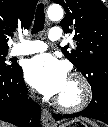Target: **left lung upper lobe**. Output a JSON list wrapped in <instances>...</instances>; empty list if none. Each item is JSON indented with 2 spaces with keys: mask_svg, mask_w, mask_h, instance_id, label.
<instances>
[{
  "mask_svg": "<svg viewBox=\"0 0 108 127\" xmlns=\"http://www.w3.org/2000/svg\"><path fill=\"white\" fill-rule=\"evenodd\" d=\"M65 17L60 25L74 33L75 49L62 52L87 78L92 90H108V9L100 0H54Z\"/></svg>",
  "mask_w": 108,
  "mask_h": 127,
  "instance_id": "left-lung-upper-lobe-1",
  "label": "left lung upper lobe"
}]
</instances>
